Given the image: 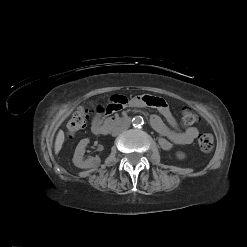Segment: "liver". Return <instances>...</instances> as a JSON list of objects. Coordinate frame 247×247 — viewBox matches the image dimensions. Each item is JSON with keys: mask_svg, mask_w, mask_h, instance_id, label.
Wrapping results in <instances>:
<instances>
[{"mask_svg": "<svg viewBox=\"0 0 247 247\" xmlns=\"http://www.w3.org/2000/svg\"><path fill=\"white\" fill-rule=\"evenodd\" d=\"M64 138H65L64 132L62 130H59L54 144L55 154H58L60 152L62 145L64 143Z\"/></svg>", "mask_w": 247, "mask_h": 247, "instance_id": "6515ba94", "label": "liver"}]
</instances>
